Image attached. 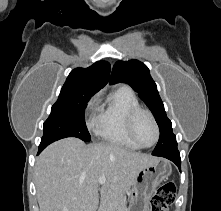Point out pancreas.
Segmentation results:
<instances>
[{"label":"pancreas","instance_id":"1","mask_svg":"<svg viewBox=\"0 0 221 211\" xmlns=\"http://www.w3.org/2000/svg\"><path fill=\"white\" fill-rule=\"evenodd\" d=\"M98 211H127L126 199L123 195H116L104 200Z\"/></svg>","mask_w":221,"mask_h":211}]
</instances>
